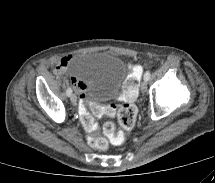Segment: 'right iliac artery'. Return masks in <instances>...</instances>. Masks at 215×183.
I'll return each instance as SVG.
<instances>
[{
  "label": "right iliac artery",
  "mask_w": 215,
  "mask_h": 183,
  "mask_svg": "<svg viewBox=\"0 0 215 183\" xmlns=\"http://www.w3.org/2000/svg\"><path fill=\"white\" fill-rule=\"evenodd\" d=\"M66 94H67V96H70L72 94V89L68 88L67 91H66Z\"/></svg>",
  "instance_id": "obj_1"
}]
</instances>
